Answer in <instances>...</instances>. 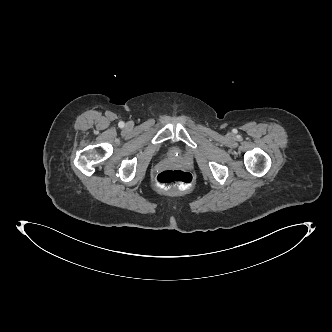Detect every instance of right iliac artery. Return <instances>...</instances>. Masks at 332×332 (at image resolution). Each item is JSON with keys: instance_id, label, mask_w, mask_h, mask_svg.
Here are the masks:
<instances>
[{"instance_id": "right-iliac-artery-1", "label": "right iliac artery", "mask_w": 332, "mask_h": 332, "mask_svg": "<svg viewBox=\"0 0 332 332\" xmlns=\"http://www.w3.org/2000/svg\"><path fill=\"white\" fill-rule=\"evenodd\" d=\"M119 127H124V122H119Z\"/></svg>"}]
</instances>
